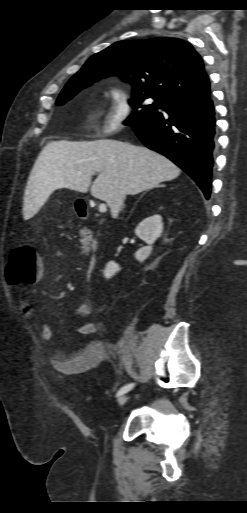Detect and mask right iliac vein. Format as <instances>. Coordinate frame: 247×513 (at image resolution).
I'll return each instance as SVG.
<instances>
[{"mask_svg": "<svg viewBox=\"0 0 247 513\" xmlns=\"http://www.w3.org/2000/svg\"><path fill=\"white\" fill-rule=\"evenodd\" d=\"M128 398H129L128 395L120 396L118 399V405L123 406L127 402Z\"/></svg>", "mask_w": 247, "mask_h": 513, "instance_id": "obj_1", "label": "right iliac vein"}]
</instances>
